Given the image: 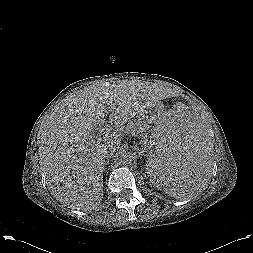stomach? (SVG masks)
<instances>
[{
  "mask_svg": "<svg viewBox=\"0 0 253 253\" xmlns=\"http://www.w3.org/2000/svg\"><path fill=\"white\" fill-rule=\"evenodd\" d=\"M160 115L161 111L159 108L155 106H149L140 112L139 117L144 122L153 123L155 119Z\"/></svg>",
  "mask_w": 253,
  "mask_h": 253,
  "instance_id": "obj_1",
  "label": "stomach"
}]
</instances>
